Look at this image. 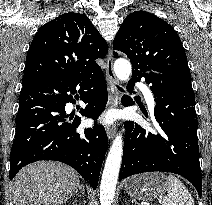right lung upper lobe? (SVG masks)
<instances>
[{
	"label": "right lung upper lobe",
	"instance_id": "1",
	"mask_svg": "<svg viewBox=\"0 0 212 205\" xmlns=\"http://www.w3.org/2000/svg\"><path fill=\"white\" fill-rule=\"evenodd\" d=\"M107 52L106 41L85 14H62L44 24L34 36L22 85L99 72L95 60Z\"/></svg>",
	"mask_w": 212,
	"mask_h": 205
}]
</instances>
